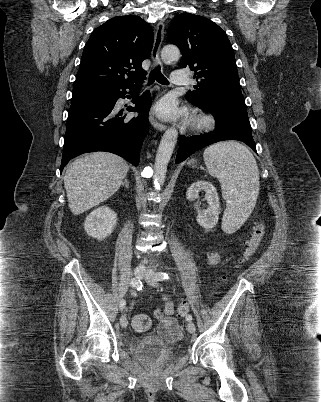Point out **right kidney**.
Returning a JSON list of instances; mask_svg holds the SVG:
<instances>
[{
	"mask_svg": "<svg viewBox=\"0 0 321 402\" xmlns=\"http://www.w3.org/2000/svg\"><path fill=\"white\" fill-rule=\"evenodd\" d=\"M116 224V213L109 207L102 206L87 216L84 229L89 236L102 240L113 232Z\"/></svg>",
	"mask_w": 321,
	"mask_h": 402,
	"instance_id": "ca27d5eb",
	"label": "right kidney"
}]
</instances>
